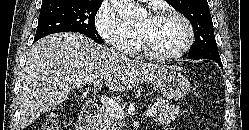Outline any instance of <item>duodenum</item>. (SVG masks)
Here are the masks:
<instances>
[{"instance_id": "1", "label": "duodenum", "mask_w": 249, "mask_h": 130, "mask_svg": "<svg viewBox=\"0 0 249 130\" xmlns=\"http://www.w3.org/2000/svg\"><path fill=\"white\" fill-rule=\"evenodd\" d=\"M100 106L97 102L87 101L77 125L78 130H97Z\"/></svg>"}]
</instances>
